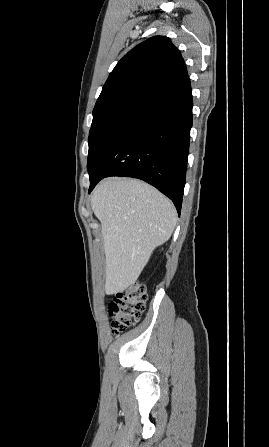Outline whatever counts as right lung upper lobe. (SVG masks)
I'll use <instances>...</instances> for the list:
<instances>
[{"label":"right lung upper lobe","instance_id":"right-lung-upper-lobe-1","mask_svg":"<svg viewBox=\"0 0 269 447\" xmlns=\"http://www.w3.org/2000/svg\"><path fill=\"white\" fill-rule=\"evenodd\" d=\"M179 50L167 37H152L129 51L110 73L93 117L123 106L142 107L187 76Z\"/></svg>","mask_w":269,"mask_h":447}]
</instances>
